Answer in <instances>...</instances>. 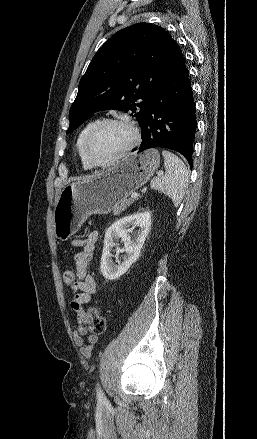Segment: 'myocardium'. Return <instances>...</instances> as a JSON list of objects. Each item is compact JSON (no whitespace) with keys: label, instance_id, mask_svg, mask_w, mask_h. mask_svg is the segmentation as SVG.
Segmentation results:
<instances>
[{"label":"myocardium","instance_id":"f54148a6","mask_svg":"<svg viewBox=\"0 0 257 439\" xmlns=\"http://www.w3.org/2000/svg\"><path fill=\"white\" fill-rule=\"evenodd\" d=\"M122 125L128 128L131 132V140L129 144L113 159L106 161V162H97L94 160L90 154V144L96 133L103 128L106 125ZM140 141V132L138 127L130 120L124 119V118H107L98 121L88 132V134L85 137L84 144H83V154L87 162L91 167L99 168V169H105L108 167L113 166L120 160L124 159L139 143Z\"/></svg>","mask_w":257,"mask_h":439}]
</instances>
